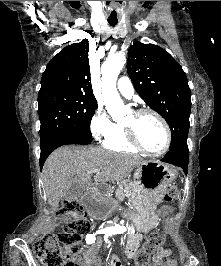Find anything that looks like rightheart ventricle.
<instances>
[{"mask_svg": "<svg viewBox=\"0 0 221 266\" xmlns=\"http://www.w3.org/2000/svg\"><path fill=\"white\" fill-rule=\"evenodd\" d=\"M103 146L115 152H137V149L128 141L123 125L120 124H115L112 133L103 140Z\"/></svg>", "mask_w": 221, "mask_h": 266, "instance_id": "right-heart-ventricle-1", "label": "right heart ventricle"}]
</instances>
